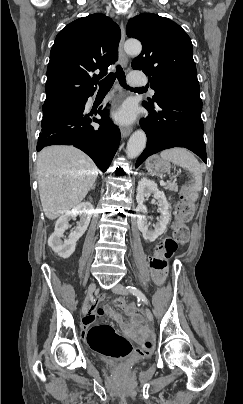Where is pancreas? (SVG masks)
<instances>
[{
	"mask_svg": "<svg viewBox=\"0 0 243 404\" xmlns=\"http://www.w3.org/2000/svg\"><path fill=\"white\" fill-rule=\"evenodd\" d=\"M165 190H170V192H178V186L177 184H168Z\"/></svg>",
	"mask_w": 243,
	"mask_h": 404,
	"instance_id": "pancreas-1",
	"label": "pancreas"
}]
</instances>
